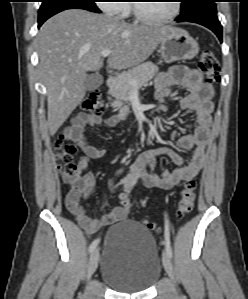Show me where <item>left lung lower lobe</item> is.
<instances>
[{
  "label": "left lung lower lobe",
  "instance_id": "0a47b994",
  "mask_svg": "<svg viewBox=\"0 0 248 299\" xmlns=\"http://www.w3.org/2000/svg\"><path fill=\"white\" fill-rule=\"evenodd\" d=\"M177 22H182V21H188V22H193V23H198L200 25H203L210 30H212L217 37L219 38L220 42H222V26L217 18L216 14H206V15H200L197 17H194L192 19H187L184 20L180 16L176 18Z\"/></svg>",
  "mask_w": 248,
  "mask_h": 299
}]
</instances>
